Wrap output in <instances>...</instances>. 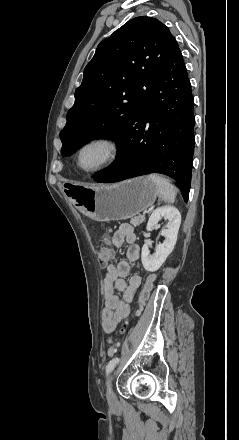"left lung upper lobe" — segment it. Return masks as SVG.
Segmentation results:
<instances>
[{
    "label": "left lung upper lobe",
    "mask_w": 239,
    "mask_h": 440,
    "mask_svg": "<svg viewBox=\"0 0 239 440\" xmlns=\"http://www.w3.org/2000/svg\"><path fill=\"white\" fill-rule=\"evenodd\" d=\"M175 38L159 20L128 21L98 45L60 133L61 154L98 138H117L170 58Z\"/></svg>",
    "instance_id": "1"
}]
</instances>
